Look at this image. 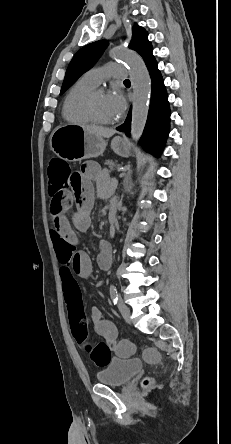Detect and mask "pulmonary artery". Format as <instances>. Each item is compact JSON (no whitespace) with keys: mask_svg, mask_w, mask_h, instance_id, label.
Returning a JSON list of instances; mask_svg holds the SVG:
<instances>
[{"mask_svg":"<svg viewBox=\"0 0 231 444\" xmlns=\"http://www.w3.org/2000/svg\"><path fill=\"white\" fill-rule=\"evenodd\" d=\"M128 69L117 65V64H107L104 67L93 68L85 73L84 77L93 83L94 85L100 84L103 80L108 78H114L119 80H124L127 78Z\"/></svg>","mask_w":231,"mask_h":444,"instance_id":"1","label":"pulmonary artery"}]
</instances>
